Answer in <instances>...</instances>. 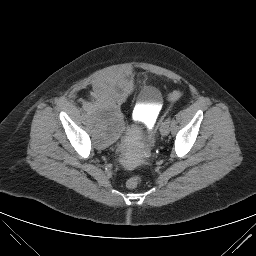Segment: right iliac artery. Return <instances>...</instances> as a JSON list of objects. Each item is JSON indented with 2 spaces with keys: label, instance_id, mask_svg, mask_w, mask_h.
I'll list each match as a JSON object with an SVG mask.
<instances>
[{
  "label": "right iliac artery",
  "instance_id": "1",
  "mask_svg": "<svg viewBox=\"0 0 256 256\" xmlns=\"http://www.w3.org/2000/svg\"><path fill=\"white\" fill-rule=\"evenodd\" d=\"M82 109H83L84 111L90 110V108H89V106H88L87 104H84V105L82 106Z\"/></svg>",
  "mask_w": 256,
  "mask_h": 256
}]
</instances>
